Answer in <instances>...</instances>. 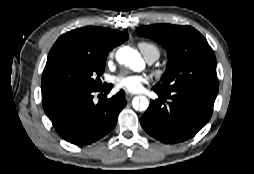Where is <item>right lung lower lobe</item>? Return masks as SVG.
<instances>
[{"instance_id":"1","label":"right lung lower lobe","mask_w":254,"mask_h":174,"mask_svg":"<svg viewBox=\"0 0 254 174\" xmlns=\"http://www.w3.org/2000/svg\"><path fill=\"white\" fill-rule=\"evenodd\" d=\"M112 85L97 89L74 90L42 98L44 111L58 134L75 145H88L108 134L116 125L120 111L126 105L121 90L110 99L95 103V92L108 93Z\"/></svg>"}]
</instances>
